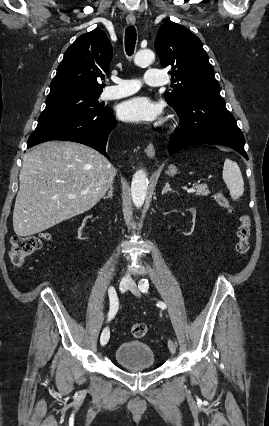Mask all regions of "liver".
I'll return each instance as SVG.
<instances>
[{
    "mask_svg": "<svg viewBox=\"0 0 269 426\" xmlns=\"http://www.w3.org/2000/svg\"><path fill=\"white\" fill-rule=\"evenodd\" d=\"M116 173L102 154L86 145L49 141L36 146L23 157L14 232L34 235L90 210Z\"/></svg>",
    "mask_w": 269,
    "mask_h": 426,
    "instance_id": "liver-1",
    "label": "liver"
}]
</instances>
